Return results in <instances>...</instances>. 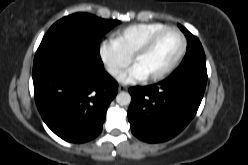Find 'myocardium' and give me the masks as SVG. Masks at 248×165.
Listing matches in <instances>:
<instances>
[{"label": "myocardium", "mask_w": 248, "mask_h": 165, "mask_svg": "<svg viewBox=\"0 0 248 165\" xmlns=\"http://www.w3.org/2000/svg\"><path fill=\"white\" fill-rule=\"evenodd\" d=\"M169 31H173L176 32L180 39H181V48L180 51L178 53V55L176 56V58L174 59V61L166 68L164 69L162 72L153 75L151 77H148V80L151 82H155V81H160L164 78H166L169 74H171L180 64V62L182 61L186 50H187V39L184 35V33L177 27L175 26H167L157 32H155L154 34H152L138 49L137 51L134 53L132 61L133 63L136 62V60L141 57L142 55L146 54L152 47L153 45L157 42V40L166 32Z\"/></svg>", "instance_id": "myocardium-1"}]
</instances>
